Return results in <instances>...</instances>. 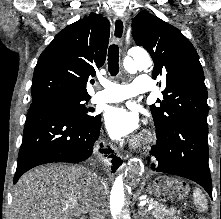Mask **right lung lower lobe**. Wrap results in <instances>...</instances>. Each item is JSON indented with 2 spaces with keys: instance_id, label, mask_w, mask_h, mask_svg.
Returning <instances> with one entry per match:
<instances>
[{
  "instance_id": "obj_1",
  "label": "right lung lower lobe",
  "mask_w": 221,
  "mask_h": 219,
  "mask_svg": "<svg viewBox=\"0 0 221 219\" xmlns=\"http://www.w3.org/2000/svg\"><path fill=\"white\" fill-rule=\"evenodd\" d=\"M100 123V115L96 120L86 122L63 111L31 107L24 126L14 183L35 166L52 162L78 163L89 158L98 146ZM100 152L110 153L111 149H100Z\"/></svg>"
}]
</instances>
